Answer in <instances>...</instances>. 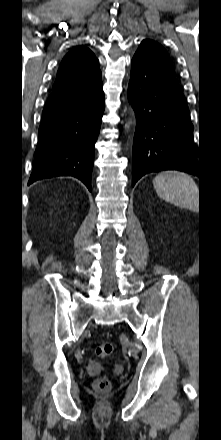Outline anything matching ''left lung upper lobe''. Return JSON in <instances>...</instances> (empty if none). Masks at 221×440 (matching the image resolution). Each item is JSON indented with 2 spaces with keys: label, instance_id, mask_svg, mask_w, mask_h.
<instances>
[{
  "label": "left lung upper lobe",
  "instance_id": "5c2ea615",
  "mask_svg": "<svg viewBox=\"0 0 221 440\" xmlns=\"http://www.w3.org/2000/svg\"><path fill=\"white\" fill-rule=\"evenodd\" d=\"M137 51H141L154 64L175 75L172 62L166 50L158 43L148 39L143 40Z\"/></svg>",
  "mask_w": 221,
  "mask_h": 440
}]
</instances>
